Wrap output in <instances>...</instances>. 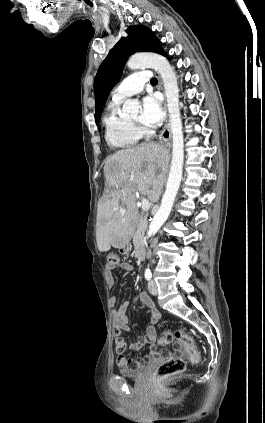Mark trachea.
Returning a JSON list of instances; mask_svg holds the SVG:
<instances>
[{"label":"trachea","instance_id":"3493384b","mask_svg":"<svg viewBox=\"0 0 265 423\" xmlns=\"http://www.w3.org/2000/svg\"><path fill=\"white\" fill-rule=\"evenodd\" d=\"M150 82H151V84H157L158 81H157L156 78H152Z\"/></svg>","mask_w":265,"mask_h":423}]
</instances>
